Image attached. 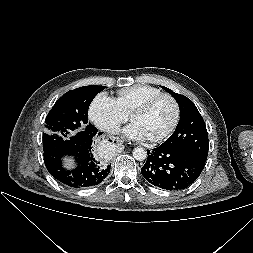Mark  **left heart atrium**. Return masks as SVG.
Here are the masks:
<instances>
[{"mask_svg": "<svg viewBox=\"0 0 253 253\" xmlns=\"http://www.w3.org/2000/svg\"><path fill=\"white\" fill-rule=\"evenodd\" d=\"M124 135L132 140H146L149 139L146 132L137 124V123H131L123 130Z\"/></svg>", "mask_w": 253, "mask_h": 253, "instance_id": "1", "label": "left heart atrium"}]
</instances>
